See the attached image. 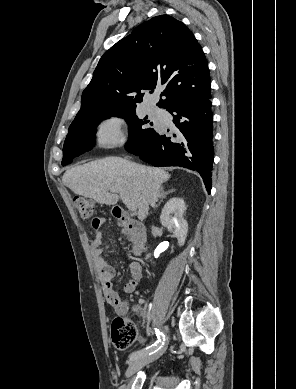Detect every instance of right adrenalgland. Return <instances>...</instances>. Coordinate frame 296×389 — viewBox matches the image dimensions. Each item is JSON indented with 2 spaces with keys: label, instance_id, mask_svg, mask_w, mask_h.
Masks as SVG:
<instances>
[{
  "label": "right adrenal gland",
  "instance_id": "obj_1",
  "mask_svg": "<svg viewBox=\"0 0 296 389\" xmlns=\"http://www.w3.org/2000/svg\"><path fill=\"white\" fill-rule=\"evenodd\" d=\"M174 191H175V190L172 189V190H170V191H167V192H165V193H162L161 196H160L159 202H158L156 205L153 206V209H156V208L161 204V202H163V200L166 198V196H167L168 194L174 192Z\"/></svg>",
  "mask_w": 296,
  "mask_h": 389
}]
</instances>
